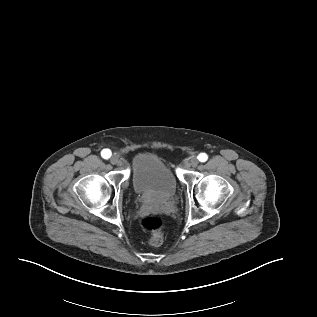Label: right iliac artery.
I'll return each mask as SVG.
<instances>
[{
	"label": "right iliac artery",
	"instance_id": "right-iliac-artery-1",
	"mask_svg": "<svg viewBox=\"0 0 317 317\" xmlns=\"http://www.w3.org/2000/svg\"><path fill=\"white\" fill-rule=\"evenodd\" d=\"M111 151L109 149H103L102 152H101V156L104 158V159H108L111 157Z\"/></svg>",
	"mask_w": 317,
	"mask_h": 317
}]
</instances>
